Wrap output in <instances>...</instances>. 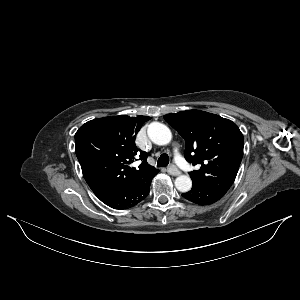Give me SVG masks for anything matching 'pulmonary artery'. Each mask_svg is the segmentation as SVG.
Returning <instances> with one entry per match:
<instances>
[{
	"label": "pulmonary artery",
	"instance_id": "obj_1",
	"mask_svg": "<svg viewBox=\"0 0 300 300\" xmlns=\"http://www.w3.org/2000/svg\"><path fill=\"white\" fill-rule=\"evenodd\" d=\"M175 160L177 162V164L182 168V169H188L190 167V165L188 164V162L181 156L176 155L175 156Z\"/></svg>",
	"mask_w": 300,
	"mask_h": 300
}]
</instances>
